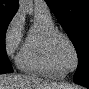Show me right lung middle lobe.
Wrapping results in <instances>:
<instances>
[{
	"label": "right lung middle lobe",
	"mask_w": 89,
	"mask_h": 89,
	"mask_svg": "<svg viewBox=\"0 0 89 89\" xmlns=\"http://www.w3.org/2000/svg\"><path fill=\"white\" fill-rule=\"evenodd\" d=\"M13 16L0 14V74L13 72L5 49V34Z\"/></svg>",
	"instance_id": "right-lung-middle-lobe-1"
}]
</instances>
